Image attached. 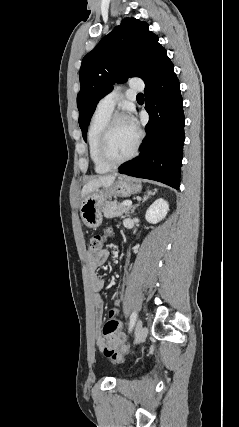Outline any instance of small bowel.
I'll list each match as a JSON object with an SVG mask.
<instances>
[{
	"instance_id": "c3829d8e",
	"label": "small bowel",
	"mask_w": 239,
	"mask_h": 427,
	"mask_svg": "<svg viewBox=\"0 0 239 427\" xmlns=\"http://www.w3.org/2000/svg\"><path fill=\"white\" fill-rule=\"evenodd\" d=\"M108 256L109 251L107 249H101L96 255H89L86 260L89 271L90 287L93 293L92 305L94 317L98 326L101 325L103 317L104 303L100 293L104 288L105 280L97 275L96 270L107 261ZM97 344L100 348L104 346V340L100 336L97 339Z\"/></svg>"
}]
</instances>
